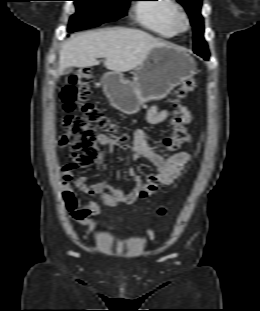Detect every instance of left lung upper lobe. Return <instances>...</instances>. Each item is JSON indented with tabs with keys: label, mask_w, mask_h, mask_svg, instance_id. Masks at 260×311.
<instances>
[{
	"label": "left lung upper lobe",
	"mask_w": 260,
	"mask_h": 311,
	"mask_svg": "<svg viewBox=\"0 0 260 311\" xmlns=\"http://www.w3.org/2000/svg\"><path fill=\"white\" fill-rule=\"evenodd\" d=\"M190 16L194 27V52L209 54L207 44L203 38V20L200 14L202 0H177Z\"/></svg>",
	"instance_id": "obj_1"
}]
</instances>
